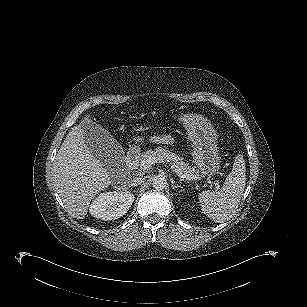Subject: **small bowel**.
Instances as JSON below:
<instances>
[{
    "instance_id": "1",
    "label": "small bowel",
    "mask_w": 307,
    "mask_h": 307,
    "mask_svg": "<svg viewBox=\"0 0 307 307\" xmlns=\"http://www.w3.org/2000/svg\"><path fill=\"white\" fill-rule=\"evenodd\" d=\"M161 141L163 143H167V144H172L173 143V140L169 136H167V135L162 136L161 137Z\"/></svg>"
}]
</instances>
